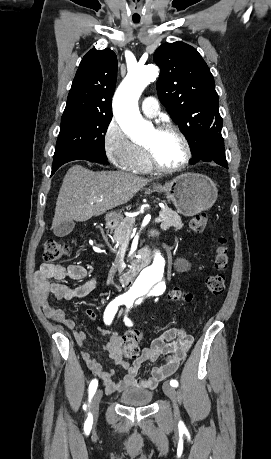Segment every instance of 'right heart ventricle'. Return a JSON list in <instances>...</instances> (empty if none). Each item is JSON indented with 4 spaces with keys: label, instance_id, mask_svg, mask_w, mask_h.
<instances>
[{
    "label": "right heart ventricle",
    "instance_id": "1",
    "mask_svg": "<svg viewBox=\"0 0 271 459\" xmlns=\"http://www.w3.org/2000/svg\"><path fill=\"white\" fill-rule=\"evenodd\" d=\"M154 168L143 144H137V153L129 164L128 169L136 173H147Z\"/></svg>",
    "mask_w": 271,
    "mask_h": 459
}]
</instances>
